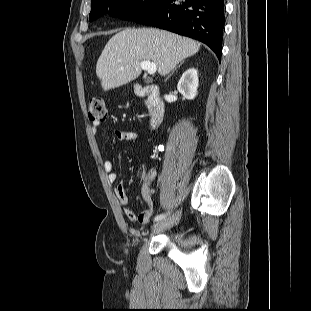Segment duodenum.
Masks as SVG:
<instances>
[{"instance_id":"duodenum-1","label":"duodenum","mask_w":311,"mask_h":311,"mask_svg":"<svg viewBox=\"0 0 311 311\" xmlns=\"http://www.w3.org/2000/svg\"><path fill=\"white\" fill-rule=\"evenodd\" d=\"M134 92L137 96L148 99L149 124L151 127H155L162 121L165 113V105L161 97L160 88L153 84L141 85L135 82Z\"/></svg>"}]
</instances>
